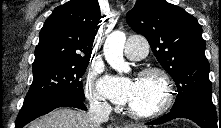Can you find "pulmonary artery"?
Masks as SVG:
<instances>
[{"mask_svg":"<svg viewBox=\"0 0 221 128\" xmlns=\"http://www.w3.org/2000/svg\"><path fill=\"white\" fill-rule=\"evenodd\" d=\"M148 47V42L144 37L134 35L127 39L124 53L128 59L136 60L146 55Z\"/></svg>","mask_w":221,"mask_h":128,"instance_id":"pulmonary-artery-1","label":"pulmonary artery"}]
</instances>
